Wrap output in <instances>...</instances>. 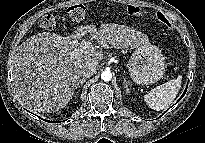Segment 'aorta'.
Here are the masks:
<instances>
[{
  "mask_svg": "<svg viewBox=\"0 0 205 143\" xmlns=\"http://www.w3.org/2000/svg\"><path fill=\"white\" fill-rule=\"evenodd\" d=\"M101 79L104 81H110L112 79V73L109 70H105L101 73Z\"/></svg>",
  "mask_w": 205,
  "mask_h": 143,
  "instance_id": "1",
  "label": "aorta"
}]
</instances>
